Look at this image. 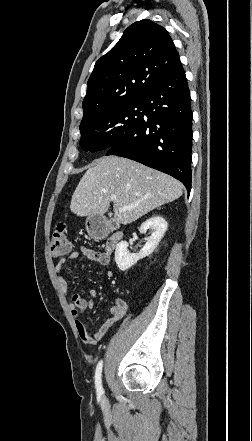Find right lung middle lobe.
Segmentation results:
<instances>
[{
  "instance_id": "obj_1",
  "label": "right lung middle lobe",
  "mask_w": 252,
  "mask_h": 441,
  "mask_svg": "<svg viewBox=\"0 0 252 441\" xmlns=\"http://www.w3.org/2000/svg\"><path fill=\"white\" fill-rule=\"evenodd\" d=\"M141 100L102 111L80 124V146L85 151L109 149L125 138L142 118Z\"/></svg>"
}]
</instances>
